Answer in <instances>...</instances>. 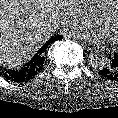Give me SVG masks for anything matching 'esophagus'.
I'll return each mask as SVG.
<instances>
[{
    "instance_id": "34e87169",
    "label": "esophagus",
    "mask_w": 118,
    "mask_h": 118,
    "mask_svg": "<svg viewBox=\"0 0 118 118\" xmlns=\"http://www.w3.org/2000/svg\"><path fill=\"white\" fill-rule=\"evenodd\" d=\"M82 46H83V48H84L86 51H90V52L94 51V48H93V47H90V46H88V45H86V44H84V43H82Z\"/></svg>"
}]
</instances>
